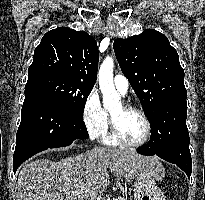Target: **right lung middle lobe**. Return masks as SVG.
Here are the masks:
<instances>
[{
    "label": "right lung middle lobe",
    "instance_id": "dd1d6c3e",
    "mask_svg": "<svg viewBox=\"0 0 205 200\" xmlns=\"http://www.w3.org/2000/svg\"><path fill=\"white\" fill-rule=\"evenodd\" d=\"M92 88L93 86L60 75L45 74L29 78L25 92L34 90L45 93L73 114L83 118L84 106Z\"/></svg>",
    "mask_w": 205,
    "mask_h": 200
}]
</instances>
